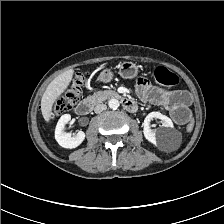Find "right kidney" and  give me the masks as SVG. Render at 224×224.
<instances>
[{
  "label": "right kidney",
  "mask_w": 224,
  "mask_h": 224,
  "mask_svg": "<svg viewBox=\"0 0 224 224\" xmlns=\"http://www.w3.org/2000/svg\"><path fill=\"white\" fill-rule=\"evenodd\" d=\"M71 120L70 114H64L60 117L56 129H55V139L58 144L63 148H76L85 139V133L83 131H78L76 134L70 132H64V126Z\"/></svg>",
  "instance_id": "right-kidney-1"
}]
</instances>
